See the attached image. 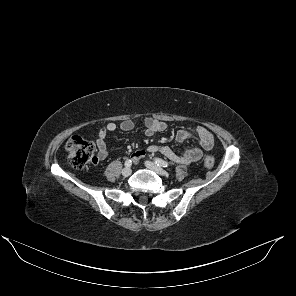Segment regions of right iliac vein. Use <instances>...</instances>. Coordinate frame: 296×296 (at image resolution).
<instances>
[{"label": "right iliac vein", "mask_w": 296, "mask_h": 296, "mask_svg": "<svg viewBox=\"0 0 296 296\" xmlns=\"http://www.w3.org/2000/svg\"><path fill=\"white\" fill-rule=\"evenodd\" d=\"M132 173V170L130 167H125L123 170H122V175L125 176V177H128L130 176Z\"/></svg>", "instance_id": "63e3f726"}]
</instances>
